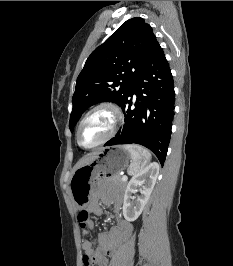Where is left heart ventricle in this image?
I'll use <instances>...</instances> for the list:
<instances>
[{
    "mask_svg": "<svg viewBox=\"0 0 233 266\" xmlns=\"http://www.w3.org/2000/svg\"><path fill=\"white\" fill-rule=\"evenodd\" d=\"M112 124L113 114L111 111L102 109L93 113L81 128V142L86 146L99 142L109 133Z\"/></svg>",
    "mask_w": 233,
    "mask_h": 266,
    "instance_id": "b2bd125f",
    "label": "left heart ventricle"
}]
</instances>
